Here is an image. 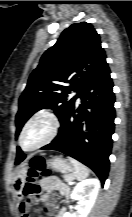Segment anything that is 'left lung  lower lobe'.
I'll return each mask as SVG.
<instances>
[{
	"instance_id": "obj_1",
	"label": "left lung lower lobe",
	"mask_w": 132,
	"mask_h": 217,
	"mask_svg": "<svg viewBox=\"0 0 132 217\" xmlns=\"http://www.w3.org/2000/svg\"><path fill=\"white\" fill-rule=\"evenodd\" d=\"M77 97L81 98L80 107L75 110L73 106L61 118L58 135L42 149L57 150L75 158L91 168L104 184L109 171L115 119L113 82L106 61ZM24 158L25 154L20 155L18 147L16 164Z\"/></svg>"
}]
</instances>
